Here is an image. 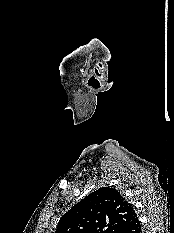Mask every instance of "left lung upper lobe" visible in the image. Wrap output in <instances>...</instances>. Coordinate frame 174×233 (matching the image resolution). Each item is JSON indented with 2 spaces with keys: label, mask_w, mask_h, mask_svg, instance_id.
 I'll use <instances>...</instances> for the list:
<instances>
[{
  "label": "left lung upper lobe",
  "mask_w": 174,
  "mask_h": 233,
  "mask_svg": "<svg viewBox=\"0 0 174 233\" xmlns=\"http://www.w3.org/2000/svg\"><path fill=\"white\" fill-rule=\"evenodd\" d=\"M135 216L134 206L117 190L102 187L64 214L55 233H120Z\"/></svg>",
  "instance_id": "left-lung-upper-lobe-1"
}]
</instances>
